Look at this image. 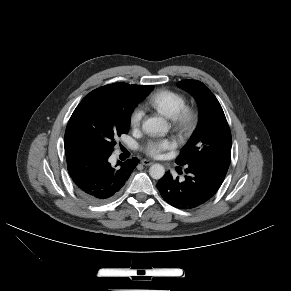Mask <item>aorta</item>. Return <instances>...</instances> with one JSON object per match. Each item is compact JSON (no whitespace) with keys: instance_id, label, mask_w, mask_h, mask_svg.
Segmentation results:
<instances>
[{"instance_id":"762f6f07","label":"aorta","mask_w":291,"mask_h":291,"mask_svg":"<svg viewBox=\"0 0 291 291\" xmlns=\"http://www.w3.org/2000/svg\"><path fill=\"white\" fill-rule=\"evenodd\" d=\"M142 129L147 134H166L169 131V124L162 117H151L143 122ZM149 174L153 179L159 180L165 174L161 164H153L149 168Z\"/></svg>"}]
</instances>
